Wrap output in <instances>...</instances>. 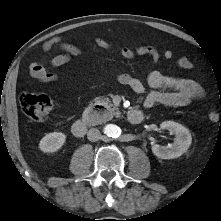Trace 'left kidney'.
<instances>
[{
  "instance_id": "left-kidney-1",
  "label": "left kidney",
  "mask_w": 221,
  "mask_h": 221,
  "mask_svg": "<svg viewBox=\"0 0 221 221\" xmlns=\"http://www.w3.org/2000/svg\"><path fill=\"white\" fill-rule=\"evenodd\" d=\"M160 128L174 134L175 139L170 146L154 144L152 152L155 156L161 159H174L187 152L192 143V137L186 127L174 121H164L160 124Z\"/></svg>"
}]
</instances>
